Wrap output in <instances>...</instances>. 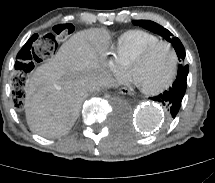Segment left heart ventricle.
I'll return each instance as SVG.
<instances>
[{"label": "left heart ventricle", "instance_id": "obj_1", "mask_svg": "<svg viewBox=\"0 0 215 183\" xmlns=\"http://www.w3.org/2000/svg\"><path fill=\"white\" fill-rule=\"evenodd\" d=\"M173 67L171 51L166 46H159L146 60L135 65L132 71L139 86L153 89L163 85L170 78Z\"/></svg>", "mask_w": 215, "mask_h": 183}]
</instances>
